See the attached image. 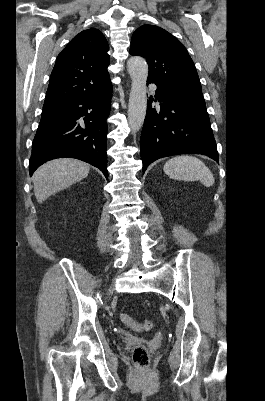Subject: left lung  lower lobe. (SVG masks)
<instances>
[{
	"label": "left lung lower lobe",
	"instance_id": "0a47b994",
	"mask_svg": "<svg viewBox=\"0 0 265 401\" xmlns=\"http://www.w3.org/2000/svg\"><path fill=\"white\" fill-rule=\"evenodd\" d=\"M155 97L161 109L148 102L140 138L143 173L155 160L177 154H203L218 162L202 92L157 86Z\"/></svg>",
	"mask_w": 265,
	"mask_h": 401
}]
</instances>
